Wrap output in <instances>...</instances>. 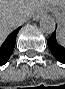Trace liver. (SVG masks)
I'll return each mask as SVG.
<instances>
[{"mask_svg": "<svg viewBox=\"0 0 65 89\" xmlns=\"http://www.w3.org/2000/svg\"><path fill=\"white\" fill-rule=\"evenodd\" d=\"M63 4V0H0V41L16 28V21L29 19L41 8Z\"/></svg>", "mask_w": 65, "mask_h": 89, "instance_id": "6515ba94", "label": "liver"}]
</instances>
